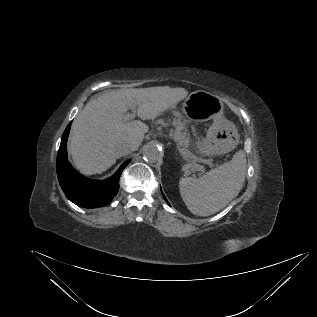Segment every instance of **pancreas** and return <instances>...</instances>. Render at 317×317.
<instances>
[{
  "label": "pancreas",
  "mask_w": 317,
  "mask_h": 317,
  "mask_svg": "<svg viewBox=\"0 0 317 317\" xmlns=\"http://www.w3.org/2000/svg\"><path fill=\"white\" fill-rule=\"evenodd\" d=\"M175 117H177L176 120H174L173 124L176 127L175 133L173 135L174 140L177 142L179 146H181L184 150V153L187 157L192 159V162L195 163L197 160V157L194 156L187 148L189 146L190 136L187 133L186 129V123L181 121V115L178 112H174Z\"/></svg>",
  "instance_id": "pancreas-1"
}]
</instances>
